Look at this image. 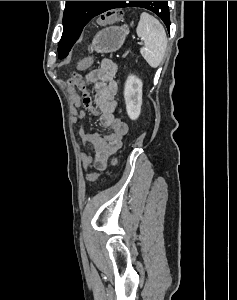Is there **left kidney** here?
<instances>
[{"instance_id":"1","label":"left kidney","mask_w":237,"mask_h":300,"mask_svg":"<svg viewBox=\"0 0 237 300\" xmlns=\"http://www.w3.org/2000/svg\"><path fill=\"white\" fill-rule=\"evenodd\" d=\"M124 101L129 119L136 121L141 113L142 81L135 75H129L126 79Z\"/></svg>"}]
</instances>
